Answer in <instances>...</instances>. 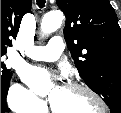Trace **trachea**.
<instances>
[{
    "instance_id": "1",
    "label": "trachea",
    "mask_w": 121,
    "mask_h": 113,
    "mask_svg": "<svg viewBox=\"0 0 121 113\" xmlns=\"http://www.w3.org/2000/svg\"><path fill=\"white\" fill-rule=\"evenodd\" d=\"M44 4H45V0H37V5H38L40 8H43V7H44Z\"/></svg>"
}]
</instances>
